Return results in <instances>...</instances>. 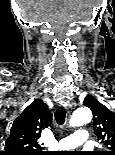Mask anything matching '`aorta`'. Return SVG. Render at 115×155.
I'll return each instance as SVG.
<instances>
[{
	"label": "aorta",
	"instance_id": "762f6f07",
	"mask_svg": "<svg viewBox=\"0 0 115 155\" xmlns=\"http://www.w3.org/2000/svg\"><path fill=\"white\" fill-rule=\"evenodd\" d=\"M92 113L91 110L87 107H82L77 109L73 116L71 117L69 124L70 126L76 127V126H82L84 124H87L91 121Z\"/></svg>",
	"mask_w": 115,
	"mask_h": 155
}]
</instances>
